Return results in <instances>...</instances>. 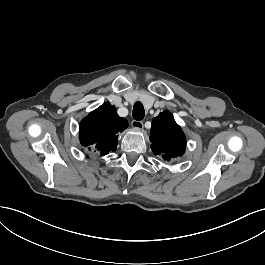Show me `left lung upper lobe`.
I'll return each mask as SVG.
<instances>
[{
    "label": "left lung upper lobe",
    "instance_id": "obj_1",
    "mask_svg": "<svg viewBox=\"0 0 265 265\" xmlns=\"http://www.w3.org/2000/svg\"><path fill=\"white\" fill-rule=\"evenodd\" d=\"M149 139L154 154L164 160L177 158L185 152V135L170 111H163L153 119Z\"/></svg>",
    "mask_w": 265,
    "mask_h": 265
}]
</instances>
